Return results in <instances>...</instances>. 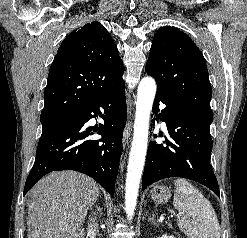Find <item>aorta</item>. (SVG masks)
Instances as JSON below:
<instances>
[{"instance_id": "obj_1", "label": "aorta", "mask_w": 247, "mask_h": 238, "mask_svg": "<svg viewBox=\"0 0 247 238\" xmlns=\"http://www.w3.org/2000/svg\"><path fill=\"white\" fill-rule=\"evenodd\" d=\"M156 94V83L151 77H144L138 86L134 135L129 155L125 188V210L132 219L137 204L139 185L144 168L148 146L150 113Z\"/></svg>"}]
</instances>
